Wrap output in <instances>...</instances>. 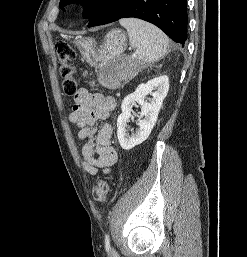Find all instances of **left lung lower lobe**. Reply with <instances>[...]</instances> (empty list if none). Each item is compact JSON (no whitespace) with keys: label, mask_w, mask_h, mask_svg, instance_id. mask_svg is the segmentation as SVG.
Returning <instances> with one entry per match:
<instances>
[{"label":"left lung lower lobe","mask_w":247,"mask_h":257,"mask_svg":"<svg viewBox=\"0 0 247 257\" xmlns=\"http://www.w3.org/2000/svg\"><path fill=\"white\" fill-rule=\"evenodd\" d=\"M187 0H104L90 17L88 27L135 17L163 30L173 41L187 39Z\"/></svg>","instance_id":"1"}]
</instances>
